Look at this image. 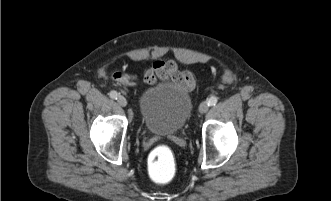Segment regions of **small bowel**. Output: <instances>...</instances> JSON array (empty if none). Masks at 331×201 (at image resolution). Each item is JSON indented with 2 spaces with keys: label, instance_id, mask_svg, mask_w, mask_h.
Returning a JSON list of instances; mask_svg holds the SVG:
<instances>
[{
  "label": "small bowel",
  "instance_id": "obj_1",
  "mask_svg": "<svg viewBox=\"0 0 331 201\" xmlns=\"http://www.w3.org/2000/svg\"><path fill=\"white\" fill-rule=\"evenodd\" d=\"M112 78L127 87H133L137 76L132 73L122 74L116 72ZM144 81L149 85L161 82H173L188 90L195 86V80L189 71H181L174 60L156 59L152 65L144 71Z\"/></svg>",
  "mask_w": 331,
  "mask_h": 201
}]
</instances>
